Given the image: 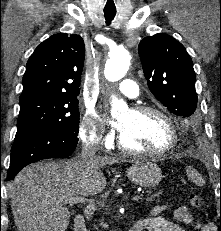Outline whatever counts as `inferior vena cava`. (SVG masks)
Segmentation results:
<instances>
[{
  "mask_svg": "<svg viewBox=\"0 0 221 231\" xmlns=\"http://www.w3.org/2000/svg\"><path fill=\"white\" fill-rule=\"evenodd\" d=\"M99 141L98 139H94L92 141L85 142L83 144L82 150H81V155L79 157V160L82 163H90L91 161L94 160L95 153L98 149Z\"/></svg>",
  "mask_w": 221,
  "mask_h": 231,
  "instance_id": "inferior-vena-cava-1",
  "label": "inferior vena cava"
}]
</instances>
